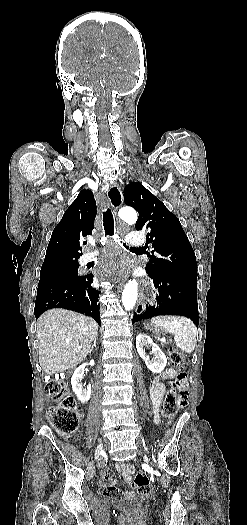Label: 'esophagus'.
Wrapping results in <instances>:
<instances>
[{
	"mask_svg": "<svg viewBox=\"0 0 247 525\" xmlns=\"http://www.w3.org/2000/svg\"><path fill=\"white\" fill-rule=\"evenodd\" d=\"M107 197H108L111 207L116 210L119 209V207L123 203V195L117 183H113L110 186L109 190L107 191ZM137 282H141V276H138ZM144 310H145V300H144L143 290L140 289L136 312L138 314H141Z\"/></svg>",
	"mask_w": 247,
	"mask_h": 525,
	"instance_id": "34e87169",
	"label": "esophagus"
}]
</instances>
